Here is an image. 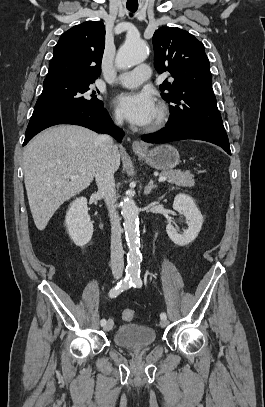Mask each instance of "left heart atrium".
<instances>
[{"mask_svg":"<svg viewBox=\"0 0 265 407\" xmlns=\"http://www.w3.org/2000/svg\"><path fill=\"white\" fill-rule=\"evenodd\" d=\"M115 103L126 119L137 126L148 125L157 110L153 96L147 91L120 94Z\"/></svg>","mask_w":265,"mask_h":407,"instance_id":"obj_1","label":"left heart atrium"}]
</instances>
